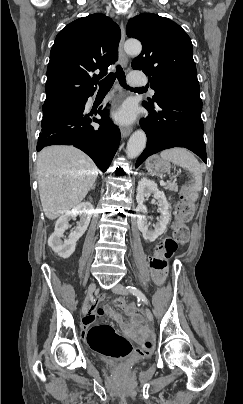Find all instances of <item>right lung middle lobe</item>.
Listing matches in <instances>:
<instances>
[{"mask_svg":"<svg viewBox=\"0 0 243 404\" xmlns=\"http://www.w3.org/2000/svg\"><path fill=\"white\" fill-rule=\"evenodd\" d=\"M80 99H82V98L66 99V100H60V101H57V102H54V103H51V104H44L43 105V112H45L46 110H48L50 108H53V107H55L57 105L78 101Z\"/></svg>","mask_w":243,"mask_h":404,"instance_id":"obj_1","label":"right lung middle lobe"}]
</instances>
